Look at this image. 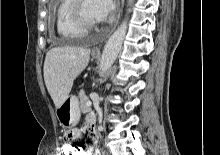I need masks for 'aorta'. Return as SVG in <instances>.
I'll list each match as a JSON object with an SVG mask.
<instances>
[{
  "label": "aorta",
  "instance_id": "aorta-1",
  "mask_svg": "<svg viewBox=\"0 0 220 155\" xmlns=\"http://www.w3.org/2000/svg\"><path fill=\"white\" fill-rule=\"evenodd\" d=\"M133 0H129V5H132ZM130 12V10H129ZM127 31V20H124L122 24L117 28V30L112 34V36L107 41L101 61H100V73H106L116 60L118 53L121 50L125 35Z\"/></svg>",
  "mask_w": 220,
  "mask_h": 155
}]
</instances>
